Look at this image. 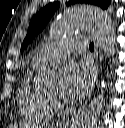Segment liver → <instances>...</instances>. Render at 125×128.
<instances>
[{
  "label": "liver",
  "mask_w": 125,
  "mask_h": 128,
  "mask_svg": "<svg viewBox=\"0 0 125 128\" xmlns=\"http://www.w3.org/2000/svg\"><path fill=\"white\" fill-rule=\"evenodd\" d=\"M32 126L27 124L13 125L12 128H31Z\"/></svg>",
  "instance_id": "1"
}]
</instances>
